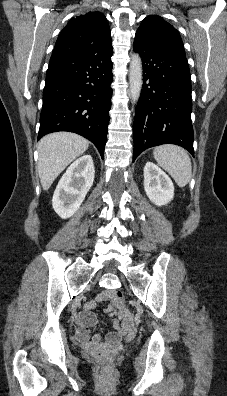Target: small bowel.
<instances>
[{
    "label": "small bowel",
    "mask_w": 227,
    "mask_h": 396,
    "mask_svg": "<svg viewBox=\"0 0 227 396\" xmlns=\"http://www.w3.org/2000/svg\"><path fill=\"white\" fill-rule=\"evenodd\" d=\"M115 295L116 292L114 290L104 291L95 300L88 302L84 310L77 316L78 329L76 336L78 341L86 348L97 350L103 346H115L122 337L129 340L136 335L137 329L133 316L126 309L123 302L116 300ZM106 302H110L106 309L114 317L116 330L109 332L106 341H103L99 334L90 337V327L96 322V315L93 312L96 305Z\"/></svg>",
    "instance_id": "small-bowel-1"
}]
</instances>
